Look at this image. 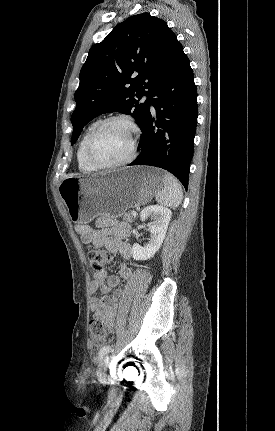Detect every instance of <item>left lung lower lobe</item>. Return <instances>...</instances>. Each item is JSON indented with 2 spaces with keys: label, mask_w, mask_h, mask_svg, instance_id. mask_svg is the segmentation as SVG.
Instances as JSON below:
<instances>
[{
  "label": "left lung lower lobe",
  "mask_w": 275,
  "mask_h": 431,
  "mask_svg": "<svg viewBox=\"0 0 275 431\" xmlns=\"http://www.w3.org/2000/svg\"><path fill=\"white\" fill-rule=\"evenodd\" d=\"M150 112L140 127L139 156L129 164L163 168L188 188L197 125V88L190 61L180 45L152 93Z\"/></svg>",
  "instance_id": "0a47b994"
}]
</instances>
